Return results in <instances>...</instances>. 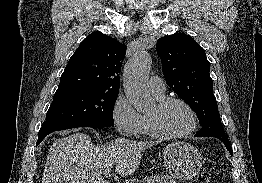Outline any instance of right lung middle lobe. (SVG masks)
Wrapping results in <instances>:
<instances>
[{
	"label": "right lung middle lobe",
	"instance_id": "1",
	"mask_svg": "<svg viewBox=\"0 0 262 183\" xmlns=\"http://www.w3.org/2000/svg\"><path fill=\"white\" fill-rule=\"evenodd\" d=\"M117 96L118 92L96 89L55 93L42 127L75 124L98 128L113 126Z\"/></svg>",
	"mask_w": 262,
	"mask_h": 183
}]
</instances>
